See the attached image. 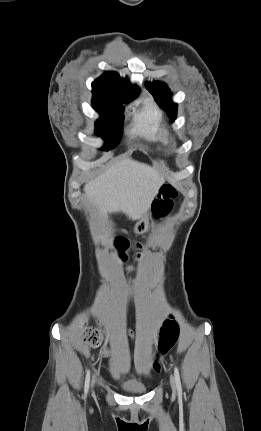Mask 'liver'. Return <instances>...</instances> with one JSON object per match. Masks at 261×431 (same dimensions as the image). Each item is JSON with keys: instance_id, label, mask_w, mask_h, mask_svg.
Wrapping results in <instances>:
<instances>
[{"instance_id": "1", "label": "liver", "mask_w": 261, "mask_h": 431, "mask_svg": "<svg viewBox=\"0 0 261 431\" xmlns=\"http://www.w3.org/2000/svg\"><path fill=\"white\" fill-rule=\"evenodd\" d=\"M163 181L154 167L127 157L87 183L84 191L103 218L109 211L137 220L147 212Z\"/></svg>"}]
</instances>
